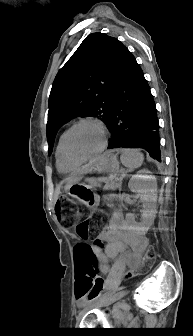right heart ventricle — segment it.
Here are the masks:
<instances>
[{
	"mask_svg": "<svg viewBox=\"0 0 193 336\" xmlns=\"http://www.w3.org/2000/svg\"><path fill=\"white\" fill-rule=\"evenodd\" d=\"M62 141H63V134L60 136L58 140L56 151H55L57 169L62 174L75 173L76 171H78L81 163H72L65 158L63 149H62Z\"/></svg>",
	"mask_w": 193,
	"mask_h": 336,
	"instance_id": "1",
	"label": "right heart ventricle"
}]
</instances>
